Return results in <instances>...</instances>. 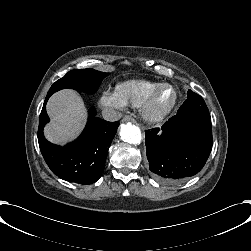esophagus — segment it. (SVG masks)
<instances>
[{"instance_id":"esophagus-1","label":"esophagus","mask_w":251,"mask_h":251,"mask_svg":"<svg viewBox=\"0 0 251 251\" xmlns=\"http://www.w3.org/2000/svg\"><path fill=\"white\" fill-rule=\"evenodd\" d=\"M122 122H123V123H126V122H133V123H135L136 120H135L132 116H130V115H125V116L122 118Z\"/></svg>"}]
</instances>
